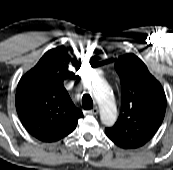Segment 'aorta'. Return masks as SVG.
Segmentation results:
<instances>
[{
  "label": "aorta",
  "instance_id": "obj_1",
  "mask_svg": "<svg viewBox=\"0 0 173 170\" xmlns=\"http://www.w3.org/2000/svg\"><path fill=\"white\" fill-rule=\"evenodd\" d=\"M86 85L99 104L101 122L112 126L117 119V108L109 87L96 75L90 76Z\"/></svg>",
  "mask_w": 173,
  "mask_h": 170
}]
</instances>
